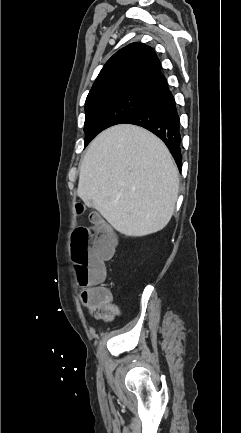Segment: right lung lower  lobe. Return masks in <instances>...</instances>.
<instances>
[{"instance_id": "98d812e1", "label": "right lung lower lobe", "mask_w": 241, "mask_h": 433, "mask_svg": "<svg viewBox=\"0 0 241 433\" xmlns=\"http://www.w3.org/2000/svg\"><path fill=\"white\" fill-rule=\"evenodd\" d=\"M123 123L144 127L162 139L181 170L180 122L175 100L167 83L155 89L146 103Z\"/></svg>"}]
</instances>
